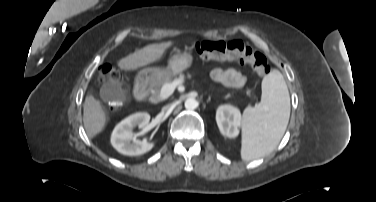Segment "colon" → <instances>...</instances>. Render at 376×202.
<instances>
[{
    "instance_id": "colon-1",
    "label": "colon",
    "mask_w": 376,
    "mask_h": 202,
    "mask_svg": "<svg viewBox=\"0 0 376 202\" xmlns=\"http://www.w3.org/2000/svg\"><path fill=\"white\" fill-rule=\"evenodd\" d=\"M193 49L195 54L203 60H240L251 65L259 76H265L270 72V66L265 55L253 50L239 39L227 42L198 41L193 45ZM100 76L102 80L118 83L126 91L121 73L114 66L103 65Z\"/></svg>"
}]
</instances>
